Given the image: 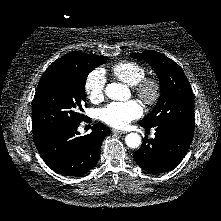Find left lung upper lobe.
Masks as SVG:
<instances>
[{"instance_id":"left-lung-upper-lobe-1","label":"left lung upper lobe","mask_w":221,"mask_h":221,"mask_svg":"<svg viewBox=\"0 0 221 221\" xmlns=\"http://www.w3.org/2000/svg\"><path fill=\"white\" fill-rule=\"evenodd\" d=\"M154 68L160 81V97L153 111L139 121L148 127L174 125L194 131V97L190 83L181 67L155 51L132 54Z\"/></svg>"}]
</instances>
